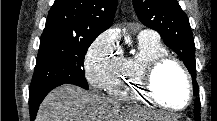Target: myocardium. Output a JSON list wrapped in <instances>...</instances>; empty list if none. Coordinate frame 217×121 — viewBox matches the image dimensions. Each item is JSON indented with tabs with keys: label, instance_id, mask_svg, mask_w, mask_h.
Segmentation results:
<instances>
[{
	"label": "myocardium",
	"instance_id": "obj_1",
	"mask_svg": "<svg viewBox=\"0 0 217 121\" xmlns=\"http://www.w3.org/2000/svg\"><path fill=\"white\" fill-rule=\"evenodd\" d=\"M167 64L175 65L182 72L187 83L188 96L185 104L181 107H175L166 104L155 91V85H154L155 75L161 68H163ZM141 88L144 95L148 99H150L153 103L173 112H180L186 110L192 103L193 96H194L193 82L189 71L180 60H178L177 58L169 54H165L157 57L156 59L150 61L144 67L141 75Z\"/></svg>",
	"mask_w": 217,
	"mask_h": 121
}]
</instances>
